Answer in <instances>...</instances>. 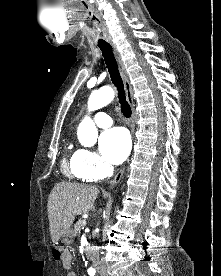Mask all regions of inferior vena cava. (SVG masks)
Here are the masks:
<instances>
[{
    "label": "inferior vena cava",
    "mask_w": 221,
    "mask_h": 276,
    "mask_svg": "<svg viewBox=\"0 0 221 276\" xmlns=\"http://www.w3.org/2000/svg\"><path fill=\"white\" fill-rule=\"evenodd\" d=\"M113 167L109 166L108 167V175L111 176L113 175ZM90 260L93 263V266L95 268H99L101 266V261H100V254H99V248L98 247H94L90 253Z\"/></svg>",
    "instance_id": "inferior-vena-cava-1"
}]
</instances>
